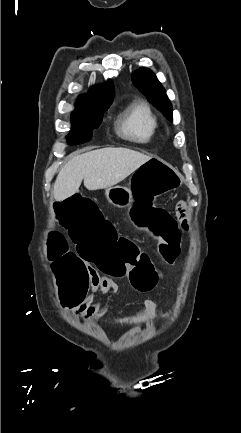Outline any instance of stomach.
<instances>
[{"label": "stomach", "instance_id": "stomach-1", "mask_svg": "<svg viewBox=\"0 0 241 433\" xmlns=\"http://www.w3.org/2000/svg\"><path fill=\"white\" fill-rule=\"evenodd\" d=\"M129 186H114L106 189L105 195L110 204L118 208H128L133 201Z\"/></svg>", "mask_w": 241, "mask_h": 433}]
</instances>
